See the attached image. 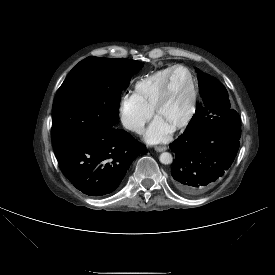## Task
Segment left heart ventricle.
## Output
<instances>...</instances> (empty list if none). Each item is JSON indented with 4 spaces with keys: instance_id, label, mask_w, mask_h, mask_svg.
Here are the masks:
<instances>
[{
    "instance_id": "obj_1",
    "label": "left heart ventricle",
    "mask_w": 275,
    "mask_h": 275,
    "mask_svg": "<svg viewBox=\"0 0 275 275\" xmlns=\"http://www.w3.org/2000/svg\"><path fill=\"white\" fill-rule=\"evenodd\" d=\"M190 100L189 76L184 70L179 69L173 74L169 95L157 117L174 127L185 118Z\"/></svg>"
}]
</instances>
